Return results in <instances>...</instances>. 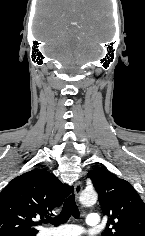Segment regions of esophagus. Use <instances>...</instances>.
Returning <instances> with one entry per match:
<instances>
[{"label": "esophagus", "instance_id": "esophagus-1", "mask_svg": "<svg viewBox=\"0 0 145 236\" xmlns=\"http://www.w3.org/2000/svg\"><path fill=\"white\" fill-rule=\"evenodd\" d=\"M81 191H82V185H81L80 182H77L75 184V187H74V194H75V196L78 197L80 195Z\"/></svg>", "mask_w": 145, "mask_h": 236}]
</instances>
